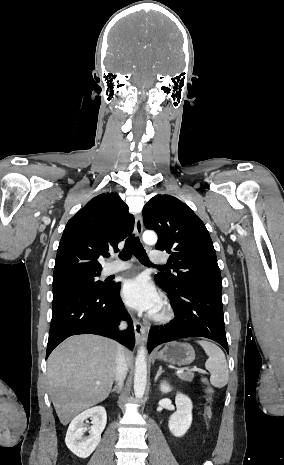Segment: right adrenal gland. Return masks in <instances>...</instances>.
<instances>
[{
    "instance_id": "1",
    "label": "right adrenal gland",
    "mask_w": 284,
    "mask_h": 465,
    "mask_svg": "<svg viewBox=\"0 0 284 465\" xmlns=\"http://www.w3.org/2000/svg\"><path fill=\"white\" fill-rule=\"evenodd\" d=\"M122 387L120 385V387H114V389H112L111 393H120Z\"/></svg>"
}]
</instances>
